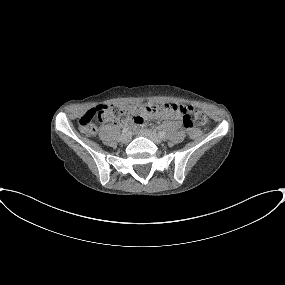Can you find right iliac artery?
I'll return each mask as SVG.
<instances>
[{
	"instance_id": "right-iliac-artery-1",
	"label": "right iliac artery",
	"mask_w": 285,
	"mask_h": 285,
	"mask_svg": "<svg viewBox=\"0 0 285 285\" xmlns=\"http://www.w3.org/2000/svg\"><path fill=\"white\" fill-rule=\"evenodd\" d=\"M128 130H129V127H128L127 125L124 126V128H123V130H122L123 134H124V133H127Z\"/></svg>"
}]
</instances>
